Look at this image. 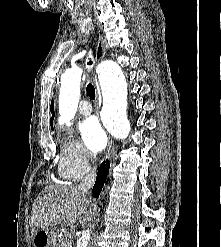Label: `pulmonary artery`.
<instances>
[{
    "instance_id": "1",
    "label": "pulmonary artery",
    "mask_w": 221,
    "mask_h": 247,
    "mask_svg": "<svg viewBox=\"0 0 221 247\" xmlns=\"http://www.w3.org/2000/svg\"><path fill=\"white\" fill-rule=\"evenodd\" d=\"M79 112L80 114L87 116L92 112V108L90 106L89 101L82 100L79 104Z\"/></svg>"
}]
</instances>
